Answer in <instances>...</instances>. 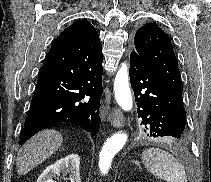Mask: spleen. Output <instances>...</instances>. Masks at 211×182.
Listing matches in <instances>:
<instances>
[{
  "instance_id": "obj_1",
  "label": "spleen",
  "mask_w": 211,
  "mask_h": 182,
  "mask_svg": "<svg viewBox=\"0 0 211 182\" xmlns=\"http://www.w3.org/2000/svg\"><path fill=\"white\" fill-rule=\"evenodd\" d=\"M142 162L148 172L166 182H187L183 165L165 150L145 149L142 153Z\"/></svg>"
}]
</instances>
